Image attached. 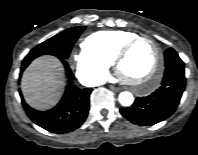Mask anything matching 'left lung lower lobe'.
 <instances>
[{"instance_id":"0a47b994","label":"left lung lower lobe","mask_w":198,"mask_h":155,"mask_svg":"<svg viewBox=\"0 0 198 155\" xmlns=\"http://www.w3.org/2000/svg\"><path fill=\"white\" fill-rule=\"evenodd\" d=\"M184 88V64L169 65L159 89L149 96L138 97L131 107L121 108L120 112L136 125L159 123L175 112Z\"/></svg>"}]
</instances>
